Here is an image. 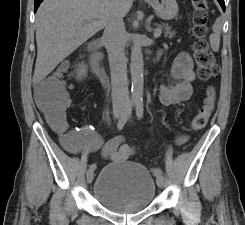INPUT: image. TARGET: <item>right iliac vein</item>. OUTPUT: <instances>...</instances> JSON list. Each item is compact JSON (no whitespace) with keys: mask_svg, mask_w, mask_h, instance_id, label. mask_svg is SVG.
<instances>
[{"mask_svg":"<svg viewBox=\"0 0 245 225\" xmlns=\"http://www.w3.org/2000/svg\"><path fill=\"white\" fill-rule=\"evenodd\" d=\"M122 114H123V110H118L114 113V117L116 119H120L122 117ZM86 179H87V182L90 184L93 179H94V171L92 169H89L86 173Z\"/></svg>","mask_w":245,"mask_h":225,"instance_id":"1","label":"right iliac vein"}]
</instances>
